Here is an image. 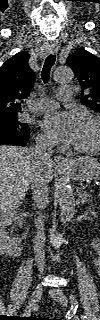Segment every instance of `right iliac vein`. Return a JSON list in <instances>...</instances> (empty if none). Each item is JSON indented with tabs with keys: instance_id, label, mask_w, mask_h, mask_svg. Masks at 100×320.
<instances>
[{
	"instance_id": "obj_1",
	"label": "right iliac vein",
	"mask_w": 100,
	"mask_h": 320,
	"mask_svg": "<svg viewBox=\"0 0 100 320\" xmlns=\"http://www.w3.org/2000/svg\"><path fill=\"white\" fill-rule=\"evenodd\" d=\"M42 295H43V288L41 285H38L30 297V300L28 303V311L32 310L36 306L37 302L41 299Z\"/></svg>"
}]
</instances>
